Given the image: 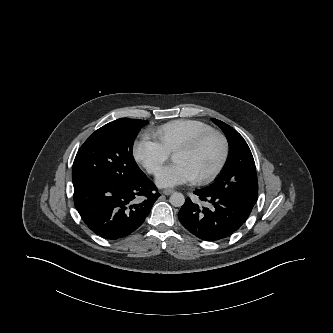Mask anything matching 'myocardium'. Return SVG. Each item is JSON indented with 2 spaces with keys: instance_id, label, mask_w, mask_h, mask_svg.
Wrapping results in <instances>:
<instances>
[{
  "instance_id": "obj_1",
  "label": "myocardium",
  "mask_w": 333,
  "mask_h": 333,
  "mask_svg": "<svg viewBox=\"0 0 333 333\" xmlns=\"http://www.w3.org/2000/svg\"><path fill=\"white\" fill-rule=\"evenodd\" d=\"M210 138H218L221 141L222 156L217 166L210 173L202 177L193 179L194 183L196 184H207L214 181L225 168L230 154V145L227 137L223 133L217 130H211L201 135H198L192 138L191 140L187 141L186 143L180 145L172 153V158H173L177 154L191 152L197 149L199 146H201L204 142H206Z\"/></svg>"
}]
</instances>
